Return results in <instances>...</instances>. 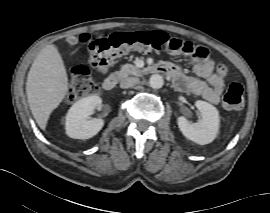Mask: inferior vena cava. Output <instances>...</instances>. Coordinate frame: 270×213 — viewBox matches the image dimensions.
Returning <instances> with one entry per match:
<instances>
[{"instance_id": "1", "label": "inferior vena cava", "mask_w": 270, "mask_h": 213, "mask_svg": "<svg viewBox=\"0 0 270 213\" xmlns=\"http://www.w3.org/2000/svg\"><path fill=\"white\" fill-rule=\"evenodd\" d=\"M139 83V78H136V77H126V78H123L120 82V87L125 89V88H129V87H132L136 84Z\"/></svg>"}]
</instances>
